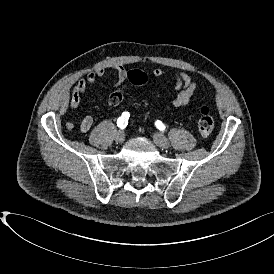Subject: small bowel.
<instances>
[{"label":"small bowel","mask_w":274,"mask_h":274,"mask_svg":"<svg viewBox=\"0 0 274 274\" xmlns=\"http://www.w3.org/2000/svg\"><path fill=\"white\" fill-rule=\"evenodd\" d=\"M112 69L117 75L116 83L114 88L120 86L127 76V71L123 65L116 64L112 66ZM106 74L104 68H99L94 71H90L85 77L80 78L71 88L70 93V106L73 109H77L81 103V98L86 92L89 85H93L98 79L103 78ZM167 74V70L162 67L154 68L151 71V76L155 79L161 78ZM174 89L177 94L170 99V102L175 107H184L191 103L196 97L197 82L192 79V77L183 70L174 72ZM94 120L90 116H86L82 119L80 123V131L82 133H87Z\"/></svg>","instance_id":"small-bowel-1"}]
</instances>
